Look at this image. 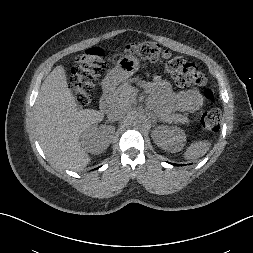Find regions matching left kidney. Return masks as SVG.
<instances>
[{
    "instance_id": "left-kidney-1",
    "label": "left kidney",
    "mask_w": 253,
    "mask_h": 253,
    "mask_svg": "<svg viewBox=\"0 0 253 253\" xmlns=\"http://www.w3.org/2000/svg\"><path fill=\"white\" fill-rule=\"evenodd\" d=\"M158 147L165 151L177 152L185 145L186 134L179 127L159 126L152 134Z\"/></svg>"
}]
</instances>
